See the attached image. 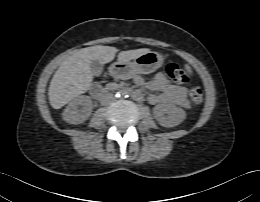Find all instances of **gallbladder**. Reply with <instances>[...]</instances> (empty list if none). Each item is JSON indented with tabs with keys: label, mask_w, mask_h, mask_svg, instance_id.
Here are the masks:
<instances>
[{
	"label": "gallbladder",
	"mask_w": 260,
	"mask_h": 202,
	"mask_svg": "<svg viewBox=\"0 0 260 202\" xmlns=\"http://www.w3.org/2000/svg\"><path fill=\"white\" fill-rule=\"evenodd\" d=\"M90 69H91V73L94 76H100L103 71V65L101 64V62L99 60L94 59L91 61Z\"/></svg>",
	"instance_id": "bac80fb5"
}]
</instances>
